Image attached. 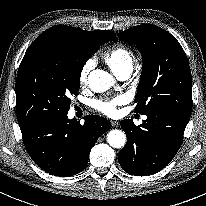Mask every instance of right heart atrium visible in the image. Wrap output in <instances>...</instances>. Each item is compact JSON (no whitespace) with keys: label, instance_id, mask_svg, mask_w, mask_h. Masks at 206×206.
Returning <instances> with one entry per match:
<instances>
[{"label":"right heart atrium","instance_id":"d8ad5b80","mask_svg":"<svg viewBox=\"0 0 206 206\" xmlns=\"http://www.w3.org/2000/svg\"><path fill=\"white\" fill-rule=\"evenodd\" d=\"M94 65H95V62L93 59L86 60L84 64L82 65L80 72H79V76H78V80L81 85L87 84L88 76L90 72L92 71V69L94 68Z\"/></svg>","mask_w":206,"mask_h":206}]
</instances>
